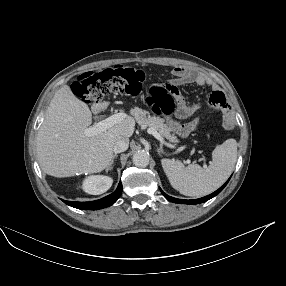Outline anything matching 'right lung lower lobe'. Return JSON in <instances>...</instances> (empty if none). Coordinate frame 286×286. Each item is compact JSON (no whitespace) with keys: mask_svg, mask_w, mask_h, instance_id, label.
I'll return each mask as SVG.
<instances>
[{"mask_svg":"<svg viewBox=\"0 0 286 286\" xmlns=\"http://www.w3.org/2000/svg\"><path fill=\"white\" fill-rule=\"evenodd\" d=\"M122 193V184L119 183L116 191L102 199L91 201V202H74V201H65L62 200L69 206H72L77 209H84V210H97L102 209L108 206H111L116 202V200L120 197Z\"/></svg>","mask_w":286,"mask_h":286,"instance_id":"98d812e1","label":"right lung lower lobe"}]
</instances>
